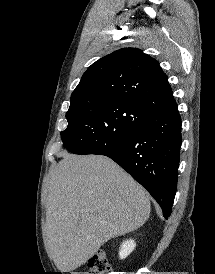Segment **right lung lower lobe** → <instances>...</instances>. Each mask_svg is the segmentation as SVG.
<instances>
[{"label": "right lung lower lobe", "instance_id": "98d812e1", "mask_svg": "<svg viewBox=\"0 0 215 274\" xmlns=\"http://www.w3.org/2000/svg\"><path fill=\"white\" fill-rule=\"evenodd\" d=\"M181 142V118L175 106L152 113L128 137L94 154L107 156L126 170L168 218L177 188Z\"/></svg>", "mask_w": 215, "mask_h": 274}]
</instances>
